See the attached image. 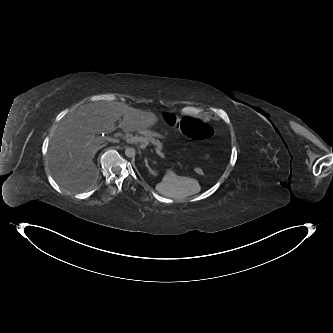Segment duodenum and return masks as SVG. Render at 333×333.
I'll use <instances>...</instances> for the list:
<instances>
[{"label":"duodenum","mask_w":333,"mask_h":333,"mask_svg":"<svg viewBox=\"0 0 333 333\" xmlns=\"http://www.w3.org/2000/svg\"><path fill=\"white\" fill-rule=\"evenodd\" d=\"M137 135H142V136H151L152 132L151 131H143V130H137L136 131Z\"/></svg>","instance_id":"duodenum-1"}]
</instances>
